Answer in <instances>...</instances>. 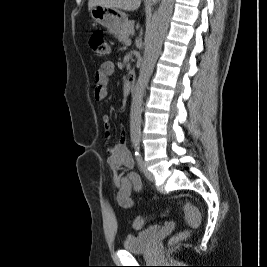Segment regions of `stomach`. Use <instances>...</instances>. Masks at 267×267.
<instances>
[{
    "label": "stomach",
    "mask_w": 267,
    "mask_h": 267,
    "mask_svg": "<svg viewBox=\"0 0 267 267\" xmlns=\"http://www.w3.org/2000/svg\"><path fill=\"white\" fill-rule=\"evenodd\" d=\"M90 15L96 23L105 27L109 33L115 35L119 34L122 27L128 21L127 16L123 12L105 6H94L90 10Z\"/></svg>",
    "instance_id": "0dacf381"
}]
</instances>
